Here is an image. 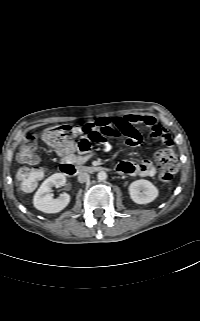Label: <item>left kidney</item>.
Masks as SVG:
<instances>
[{"label":"left kidney","mask_w":200,"mask_h":321,"mask_svg":"<svg viewBox=\"0 0 200 321\" xmlns=\"http://www.w3.org/2000/svg\"><path fill=\"white\" fill-rule=\"evenodd\" d=\"M129 194L133 202L137 204H147L154 201L159 192L150 181L140 179L130 184Z\"/></svg>","instance_id":"1"}]
</instances>
